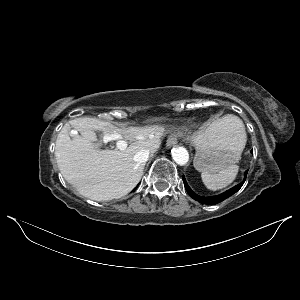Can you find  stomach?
<instances>
[{
  "mask_svg": "<svg viewBox=\"0 0 300 300\" xmlns=\"http://www.w3.org/2000/svg\"><path fill=\"white\" fill-rule=\"evenodd\" d=\"M232 122H212L195 133L192 141L196 149L194 167L201 172L215 173L236 162L244 149L242 138Z\"/></svg>",
  "mask_w": 300,
  "mask_h": 300,
  "instance_id": "stomach-1",
  "label": "stomach"
}]
</instances>
